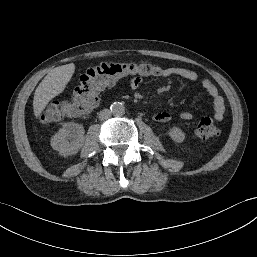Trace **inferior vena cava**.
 Segmentation results:
<instances>
[{
    "label": "inferior vena cava",
    "instance_id": "inferior-vena-cava-1",
    "mask_svg": "<svg viewBox=\"0 0 257 257\" xmlns=\"http://www.w3.org/2000/svg\"><path fill=\"white\" fill-rule=\"evenodd\" d=\"M99 119L100 120H106L111 116V111L109 109L101 110L99 113Z\"/></svg>",
    "mask_w": 257,
    "mask_h": 257
}]
</instances>
